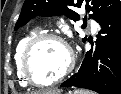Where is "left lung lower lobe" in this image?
Returning <instances> with one entry per match:
<instances>
[{
    "label": "left lung lower lobe",
    "instance_id": "1",
    "mask_svg": "<svg viewBox=\"0 0 121 94\" xmlns=\"http://www.w3.org/2000/svg\"><path fill=\"white\" fill-rule=\"evenodd\" d=\"M95 49L86 53L78 72L61 87L121 94V9L100 23Z\"/></svg>",
    "mask_w": 121,
    "mask_h": 94
}]
</instances>
